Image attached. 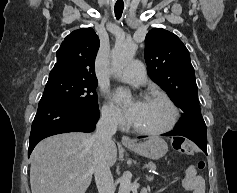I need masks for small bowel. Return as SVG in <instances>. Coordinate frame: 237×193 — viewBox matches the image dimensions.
Listing matches in <instances>:
<instances>
[{
    "label": "small bowel",
    "mask_w": 237,
    "mask_h": 193,
    "mask_svg": "<svg viewBox=\"0 0 237 193\" xmlns=\"http://www.w3.org/2000/svg\"><path fill=\"white\" fill-rule=\"evenodd\" d=\"M180 184L184 190L190 193H205L204 180L196 173L194 166L187 167Z\"/></svg>",
    "instance_id": "obj_1"
}]
</instances>
